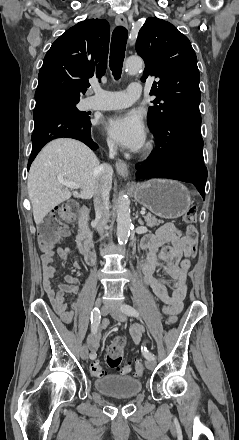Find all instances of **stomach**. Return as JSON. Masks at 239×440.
Instances as JSON below:
<instances>
[{
	"mask_svg": "<svg viewBox=\"0 0 239 440\" xmlns=\"http://www.w3.org/2000/svg\"><path fill=\"white\" fill-rule=\"evenodd\" d=\"M133 198L160 218H180L189 210L192 200L189 190L175 180H148L131 188Z\"/></svg>",
	"mask_w": 239,
	"mask_h": 440,
	"instance_id": "1",
	"label": "stomach"
}]
</instances>
